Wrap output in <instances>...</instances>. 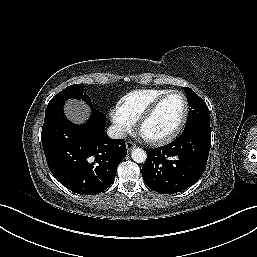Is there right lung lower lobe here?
<instances>
[{
    "label": "right lung lower lobe",
    "mask_w": 257,
    "mask_h": 257,
    "mask_svg": "<svg viewBox=\"0 0 257 257\" xmlns=\"http://www.w3.org/2000/svg\"><path fill=\"white\" fill-rule=\"evenodd\" d=\"M63 104L49 103L45 112L41 141L48 167L72 192L98 194L113 182L126 146L121 139L108 138L102 112L92 108L90 120L76 125L65 117Z\"/></svg>",
    "instance_id": "98d812e1"
}]
</instances>
